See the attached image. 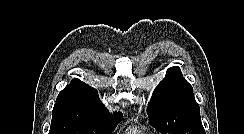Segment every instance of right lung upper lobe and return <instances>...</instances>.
<instances>
[{"instance_id": "cb5924a9", "label": "right lung upper lobe", "mask_w": 244, "mask_h": 134, "mask_svg": "<svg viewBox=\"0 0 244 134\" xmlns=\"http://www.w3.org/2000/svg\"><path fill=\"white\" fill-rule=\"evenodd\" d=\"M118 113L114 116L120 115ZM53 117L67 116L84 119L114 117L98 98L97 90L74 79L58 95L54 105Z\"/></svg>"}]
</instances>
